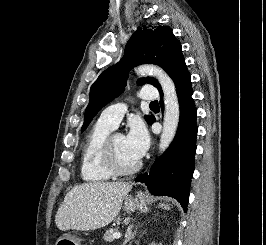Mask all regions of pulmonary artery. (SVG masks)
Listing matches in <instances>:
<instances>
[{
	"mask_svg": "<svg viewBox=\"0 0 266 245\" xmlns=\"http://www.w3.org/2000/svg\"><path fill=\"white\" fill-rule=\"evenodd\" d=\"M145 91H138V101H154L156 92L154 86H145ZM127 111V107L124 104L111 105L106 107L98 117V121H102L110 124L113 128H115L124 114Z\"/></svg>",
	"mask_w": 266,
	"mask_h": 245,
	"instance_id": "e3ab8cb5",
	"label": "pulmonary artery"
}]
</instances>
